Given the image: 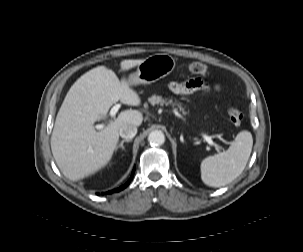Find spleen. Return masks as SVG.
Returning <instances> with one entry per match:
<instances>
[{
    "label": "spleen",
    "mask_w": 303,
    "mask_h": 252,
    "mask_svg": "<svg viewBox=\"0 0 303 252\" xmlns=\"http://www.w3.org/2000/svg\"><path fill=\"white\" fill-rule=\"evenodd\" d=\"M253 146L252 134L241 131L227 151L208 156L201 162V179L211 187L231 183L245 169Z\"/></svg>",
    "instance_id": "spleen-1"
}]
</instances>
